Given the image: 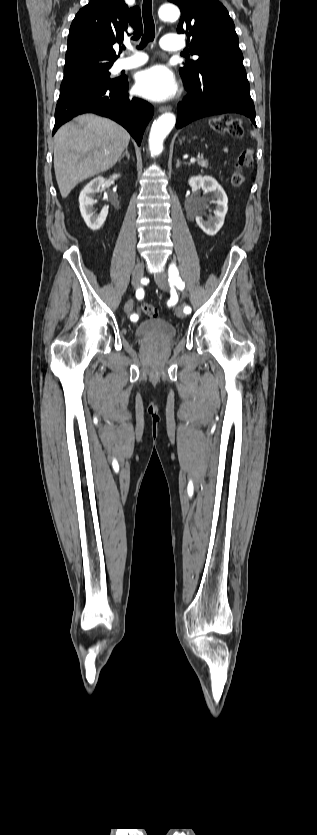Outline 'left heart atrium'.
Instances as JSON below:
<instances>
[{
  "mask_svg": "<svg viewBox=\"0 0 317 835\" xmlns=\"http://www.w3.org/2000/svg\"><path fill=\"white\" fill-rule=\"evenodd\" d=\"M135 89L140 96L160 102L174 96L177 83L167 67L155 65L137 74Z\"/></svg>",
  "mask_w": 317,
  "mask_h": 835,
  "instance_id": "obj_1",
  "label": "left heart atrium"
}]
</instances>
